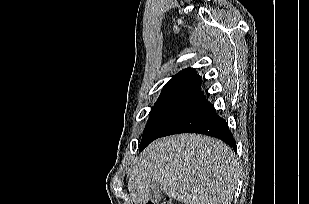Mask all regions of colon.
Returning <instances> with one entry per match:
<instances>
[{
  "instance_id": "obj_1",
  "label": "colon",
  "mask_w": 309,
  "mask_h": 204,
  "mask_svg": "<svg viewBox=\"0 0 309 204\" xmlns=\"http://www.w3.org/2000/svg\"><path fill=\"white\" fill-rule=\"evenodd\" d=\"M145 204H171V202L169 200H165V201L158 203V202L149 200V201L145 202Z\"/></svg>"
}]
</instances>
